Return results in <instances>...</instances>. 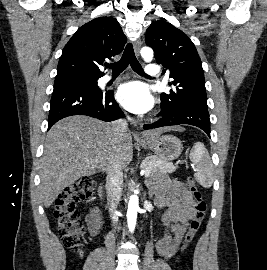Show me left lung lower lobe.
Here are the masks:
<instances>
[{"label":"left lung lower lobe","mask_w":267,"mask_h":270,"mask_svg":"<svg viewBox=\"0 0 267 270\" xmlns=\"http://www.w3.org/2000/svg\"><path fill=\"white\" fill-rule=\"evenodd\" d=\"M162 118L152 124L143 126L145 130L164 126L189 124L201 128L210 137V118L207 108L199 106H181L173 109H162L159 113Z\"/></svg>","instance_id":"left-lung-lower-lobe-1"}]
</instances>
